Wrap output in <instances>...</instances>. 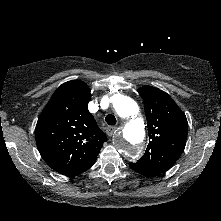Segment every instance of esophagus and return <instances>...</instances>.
<instances>
[{
  "mask_svg": "<svg viewBox=\"0 0 221 221\" xmlns=\"http://www.w3.org/2000/svg\"><path fill=\"white\" fill-rule=\"evenodd\" d=\"M117 130H118V128L108 127L106 129V133H107L108 136H112Z\"/></svg>",
  "mask_w": 221,
  "mask_h": 221,
  "instance_id": "34e87169",
  "label": "esophagus"
}]
</instances>
